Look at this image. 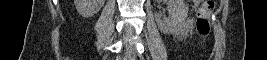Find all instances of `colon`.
Listing matches in <instances>:
<instances>
[{
  "mask_svg": "<svg viewBox=\"0 0 267 60\" xmlns=\"http://www.w3.org/2000/svg\"><path fill=\"white\" fill-rule=\"evenodd\" d=\"M200 6L197 9L196 30L200 37H206L211 31L210 16L214 10V1H199ZM204 48V45L202 46Z\"/></svg>",
  "mask_w": 267,
  "mask_h": 60,
  "instance_id": "colon-1",
  "label": "colon"
}]
</instances>
